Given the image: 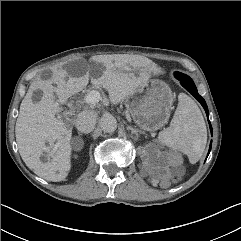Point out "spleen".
<instances>
[{
	"instance_id": "1",
	"label": "spleen",
	"mask_w": 241,
	"mask_h": 241,
	"mask_svg": "<svg viewBox=\"0 0 241 241\" xmlns=\"http://www.w3.org/2000/svg\"><path fill=\"white\" fill-rule=\"evenodd\" d=\"M178 100L170 126L159 132L157 141L185 153L190 163L194 164L201 158L206 147V124L194 100L185 93H180Z\"/></svg>"
}]
</instances>
